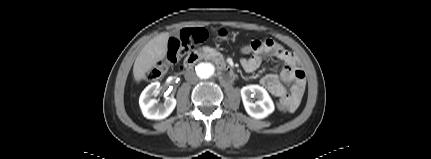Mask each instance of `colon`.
<instances>
[{"instance_id": "5ec220e1", "label": "colon", "mask_w": 431, "mask_h": 159, "mask_svg": "<svg viewBox=\"0 0 431 159\" xmlns=\"http://www.w3.org/2000/svg\"><path fill=\"white\" fill-rule=\"evenodd\" d=\"M206 37L207 33L204 29H192L182 32L180 37L170 38L165 60L160 62L155 68L147 71L145 80L149 82L157 80L169 65L176 63L188 52L192 44L200 43L204 41ZM238 50L242 54H249L252 52L253 47L247 43L245 46H239ZM275 105L277 111L282 114L287 113V110L283 107L282 101H279V103L275 102Z\"/></svg>"}]
</instances>
